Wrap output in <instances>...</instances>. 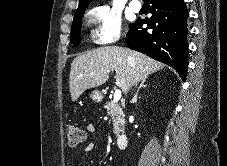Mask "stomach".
<instances>
[{
	"instance_id": "obj_1",
	"label": "stomach",
	"mask_w": 227,
	"mask_h": 166,
	"mask_svg": "<svg viewBox=\"0 0 227 166\" xmlns=\"http://www.w3.org/2000/svg\"><path fill=\"white\" fill-rule=\"evenodd\" d=\"M91 99L95 102H101L103 99V95L100 91L98 90H94L91 95H90Z\"/></svg>"
}]
</instances>
